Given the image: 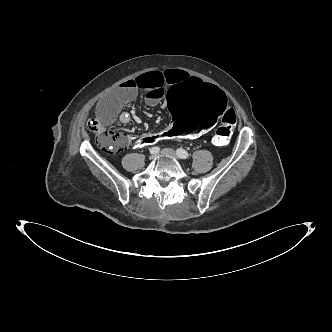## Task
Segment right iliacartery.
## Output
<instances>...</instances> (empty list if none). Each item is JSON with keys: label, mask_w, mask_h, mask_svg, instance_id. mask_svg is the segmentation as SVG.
Segmentation results:
<instances>
[{"label": "right iliac artery", "mask_w": 332, "mask_h": 332, "mask_svg": "<svg viewBox=\"0 0 332 332\" xmlns=\"http://www.w3.org/2000/svg\"><path fill=\"white\" fill-rule=\"evenodd\" d=\"M159 151H160V148H159V147H152V148L150 149V153H151V154H157Z\"/></svg>", "instance_id": "right-iliac-artery-1"}]
</instances>
